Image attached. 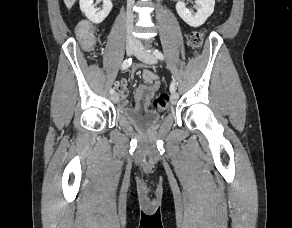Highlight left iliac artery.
I'll return each mask as SVG.
<instances>
[{
  "label": "left iliac artery",
  "instance_id": "1",
  "mask_svg": "<svg viewBox=\"0 0 292 228\" xmlns=\"http://www.w3.org/2000/svg\"><path fill=\"white\" fill-rule=\"evenodd\" d=\"M153 53H154V55H155L158 59H160V60H164V55H163V53H162L161 51L155 49V50L153 51ZM175 90H176L175 82L173 81V82L171 83V85H170V92H171V93H174Z\"/></svg>",
  "mask_w": 292,
  "mask_h": 228
}]
</instances>
